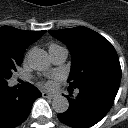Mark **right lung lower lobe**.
<instances>
[{
	"mask_svg": "<svg viewBox=\"0 0 128 128\" xmlns=\"http://www.w3.org/2000/svg\"><path fill=\"white\" fill-rule=\"evenodd\" d=\"M41 92L25 83L24 88H9L0 84V128H15L26 120L33 102L41 97Z\"/></svg>",
	"mask_w": 128,
	"mask_h": 128,
	"instance_id": "1",
	"label": "right lung lower lobe"
}]
</instances>
